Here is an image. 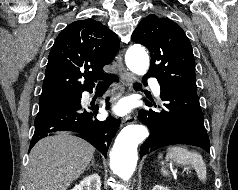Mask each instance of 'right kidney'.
Segmentation results:
<instances>
[{"label":"right kidney","instance_id":"obj_1","mask_svg":"<svg viewBox=\"0 0 238 190\" xmlns=\"http://www.w3.org/2000/svg\"><path fill=\"white\" fill-rule=\"evenodd\" d=\"M71 190H101L100 176L98 174L89 175Z\"/></svg>","mask_w":238,"mask_h":190}]
</instances>
